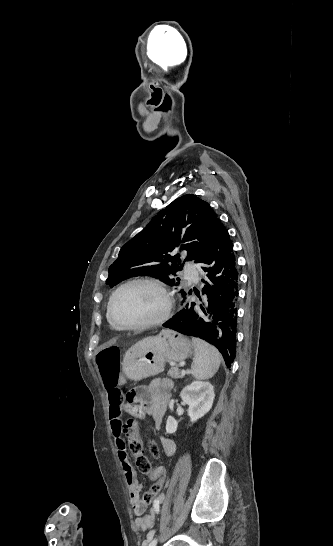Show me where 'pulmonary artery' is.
Instances as JSON below:
<instances>
[{"mask_svg": "<svg viewBox=\"0 0 333 546\" xmlns=\"http://www.w3.org/2000/svg\"><path fill=\"white\" fill-rule=\"evenodd\" d=\"M185 275L187 278L193 280V281H198V274L197 272L193 271L191 268H187L186 271H185Z\"/></svg>", "mask_w": 333, "mask_h": 546, "instance_id": "obj_1", "label": "pulmonary artery"}]
</instances>
